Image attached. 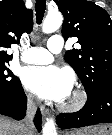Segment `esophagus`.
Instances as JSON below:
<instances>
[{"label":"esophagus","mask_w":112,"mask_h":135,"mask_svg":"<svg viewBox=\"0 0 112 135\" xmlns=\"http://www.w3.org/2000/svg\"><path fill=\"white\" fill-rule=\"evenodd\" d=\"M40 110H41V113H42L43 116H46L47 114H49V111L47 109H45L44 106H41Z\"/></svg>","instance_id":"34e87169"}]
</instances>
